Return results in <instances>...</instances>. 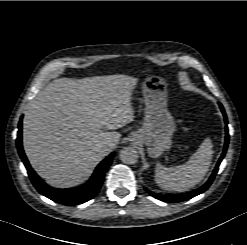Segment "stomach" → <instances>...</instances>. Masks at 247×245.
<instances>
[{
    "instance_id": "0dacf381",
    "label": "stomach",
    "mask_w": 247,
    "mask_h": 245,
    "mask_svg": "<svg viewBox=\"0 0 247 245\" xmlns=\"http://www.w3.org/2000/svg\"><path fill=\"white\" fill-rule=\"evenodd\" d=\"M145 104L143 126L135 133V143L145 144L148 154L156 158L168 150L176 130L173 116L167 109V83L159 75H149L142 82Z\"/></svg>"
}]
</instances>
